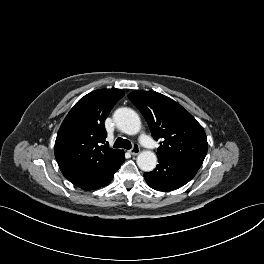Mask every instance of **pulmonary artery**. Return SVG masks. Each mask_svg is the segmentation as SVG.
I'll return each mask as SVG.
<instances>
[{
  "label": "pulmonary artery",
  "instance_id": "e3ab8cb5",
  "mask_svg": "<svg viewBox=\"0 0 264 264\" xmlns=\"http://www.w3.org/2000/svg\"><path fill=\"white\" fill-rule=\"evenodd\" d=\"M141 142L145 147L150 148V149L154 148L155 146L154 142L147 136H142Z\"/></svg>",
  "mask_w": 264,
  "mask_h": 264
}]
</instances>
